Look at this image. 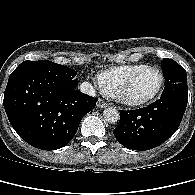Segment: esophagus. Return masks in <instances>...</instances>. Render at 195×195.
<instances>
[{"label":"esophagus","instance_id":"esophagus-1","mask_svg":"<svg viewBox=\"0 0 195 195\" xmlns=\"http://www.w3.org/2000/svg\"><path fill=\"white\" fill-rule=\"evenodd\" d=\"M107 106H108V104H107L104 100L99 99V100L97 101V107H98V108H105V107H107Z\"/></svg>","mask_w":195,"mask_h":195}]
</instances>
